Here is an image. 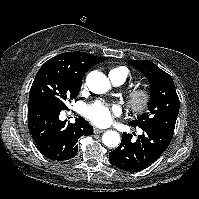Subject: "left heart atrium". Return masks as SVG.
<instances>
[{"mask_svg": "<svg viewBox=\"0 0 199 199\" xmlns=\"http://www.w3.org/2000/svg\"><path fill=\"white\" fill-rule=\"evenodd\" d=\"M85 116L95 125L107 126L120 115V108L103 102H95L85 108Z\"/></svg>", "mask_w": 199, "mask_h": 199, "instance_id": "obj_1", "label": "left heart atrium"}]
</instances>
